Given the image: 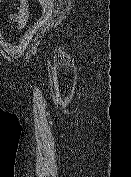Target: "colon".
I'll list each match as a JSON object with an SVG mask.
<instances>
[{
	"label": "colon",
	"mask_w": 131,
	"mask_h": 177,
	"mask_svg": "<svg viewBox=\"0 0 131 177\" xmlns=\"http://www.w3.org/2000/svg\"><path fill=\"white\" fill-rule=\"evenodd\" d=\"M29 17L28 0H19L18 8L10 14V23L12 30L15 32L21 31L27 23Z\"/></svg>",
	"instance_id": "colon-1"
}]
</instances>
